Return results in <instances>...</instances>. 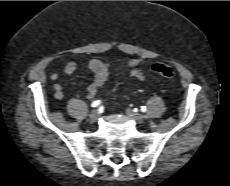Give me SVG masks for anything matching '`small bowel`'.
I'll use <instances>...</instances> for the list:
<instances>
[{
	"mask_svg": "<svg viewBox=\"0 0 230 186\" xmlns=\"http://www.w3.org/2000/svg\"><path fill=\"white\" fill-rule=\"evenodd\" d=\"M145 62L142 59H132L127 62L126 67L129 71V75L137 78L139 80L145 79V72L142 67H145ZM89 69L94 73V81L92 84L88 85L86 88V95L88 98H93L97 91L105 84L108 74H109V65L100 59L92 58L88 63ZM78 68V65L74 61L66 63L64 66L63 72L66 75L73 74ZM51 80L57 81L59 74L53 72L50 75ZM54 94L57 99H62L64 96L63 86L56 82L53 86Z\"/></svg>",
	"mask_w": 230,
	"mask_h": 186,
	"instance_id": "small-bowel-1",
	"label": "small bowel"
}]
</instances>
